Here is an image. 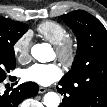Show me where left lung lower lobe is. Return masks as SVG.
<instances>
[{"label":"left lung lower lobe","instance_id":"0a47b994","mask_svg":"<svg viewBox=\"0 0 107 107\" xmlns=\"http://www.w3.org/2000/svg\"><path fill=\"white\" fill-rule=\"evenodd\" d=\"M57 87L61 95L64 94L60 107H69L68 98L73 96L74 90L59 82ZM84 94L83 107H107V78L99 77L80 84Z\"/></svg>","mask_w":107,"mask_h":107}]
</instances>
